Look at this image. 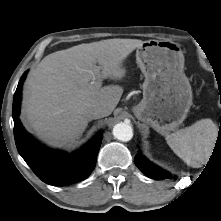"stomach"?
<instances>
[{"label": "stomach", "instance_id": "1", "mask_svg": "<svg viewBox=\"0 0 221 221\" xmlns=\"http://www.w3.org/2000/svg\"><path fill=\"white\" fill-rule=\"evenodd\" d=\"M136 61L145 81L143 99L132 109L134 115L162 135L174 131L193 103L180 46L169 40L145 41L137 48Z\"/></svg>", "mask_w": 221, "mask_h": 221}]
</instances>
